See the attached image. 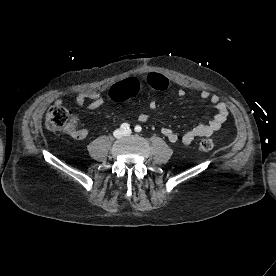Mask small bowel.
<instances>
[{
    "label": "small bowel",
    "mask_w": 276,
    "mask_h": 276,
    "mask_svg": "<svg viewBox=\"0 0 276 276\" xmlns=\"http://www.w3.org/2000/svg\"><path fill=\"white\" fill-rule=\"evenodd\" d=\"M148 84L151 88L155 90H166L168 88L167 79L157 73H151L148 76ZM119 88L116 96L113 98H129L137 95L141 89L140 82L135 78H129L124 82L116 85ZM112 90V89H111ZM177 94L179 96L185 95V90L183 88L178 89ZM200 97L203 100L209 101L215 108V114L212 119L206 124H199L193 129L185 132L181 136L178 135L170 127H162L161 133L167 138L171 143H177L181 141L185 145L191 144L196 138L212 136L219 132L222 125L228 117V108L224 101L218 95L212 94L207 90L200 92ZM57 104L62 103L61 99H58ZM75 103L77 105H86L89 109H98L104 105L105 101L102 95L94 90L84 91L79 93L75 97ZM149 110H154L156 108L155 101H150L148 105ZM138 120L140 122H146L148 120V115L142 112L138 115ZM88 136V131L86 129H78L73 133V137L79 140L85 139Z\"/></svg>",
    "instance_id": "c3829d8e"
}]
</instances>
